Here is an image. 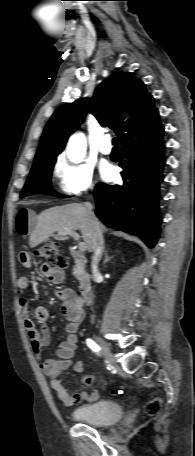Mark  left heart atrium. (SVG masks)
I'll use <instances>...</instances> for the list:
<instances>
[{
  "mask_svg": "<svg viewBox=\"0 0 195 456\" xmlns=\"http://www.w3.org/2000/svg\"><path fill=\"white\" fill-rule=\"evenodd\" d=\"M102 176L105 179H111L114 176V170L111 166H104L101 170Z\"/></svg>",
  "mask_w": 195,
  "mask_h": 456,
  "instance_id": "obj_1",
  "label": "left heart atrium"
}]
</instances>
